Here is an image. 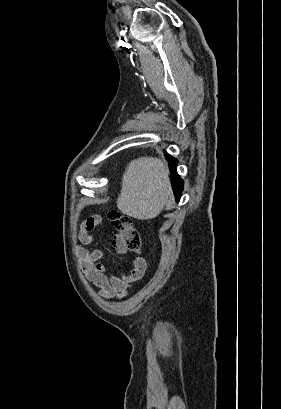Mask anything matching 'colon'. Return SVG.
Returning <instances> with one entry per match:
<instances>
[{
    "mask_svg": "<svg viewBox=\"0 0 281 409\" xmlns=\"http://www.w3.org/2000/svg\"><path fill=\"white\" fill-rule=\"evenodd\" d=\"M108 218L111 226L116 232V237L121 242L122 246L127 251L129 249H136L138 255H141V236L139 230L133 225L132 219L129 216L122 215L116 211L109 212Z\"/></svg>",
    "mask_w": 281,
    "mask_h": 409,
    "instance_id": "1",
    "label": "colon"
}]
</instances>
